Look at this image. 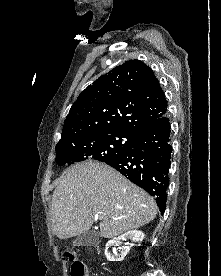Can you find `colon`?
Wrapping results in <instances>:
<instances>
[{
  "label": "colon",
  "mask_w": 221,
  "mask_h": 276,
  "mask_svg": "<svg viewBox=\"0 0 221 276\" xmlns=\"http://www.w3.org/2000/svg\"><path fill=\"white\" fill-rule=\"evenodd\" d=\"M63 258L71 263V276H88L85 266L77 260L74 251L65 250Z\"/></svg>",
  "instance_id": "1"
}]
</instances>
